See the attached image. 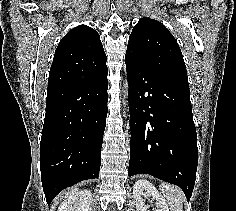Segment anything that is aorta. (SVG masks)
Instances as JSON below:
<instances>
[{"label": "aorta", "mask_w": 236, "mask_h": 211, "mask_svg": "<svg viewBox=\"0 0 236 211\" xmlns=\"http://www.w3.org/2000/svg\"><path fill=\"white\" fill-rule=\"evenodd\" d=\"M127 95H128V83L125 82V84H124V99H123L124 104L128 103V101L125 100Z\"/></svg>", "instance_id": "762f6f07"}]
</instances>
